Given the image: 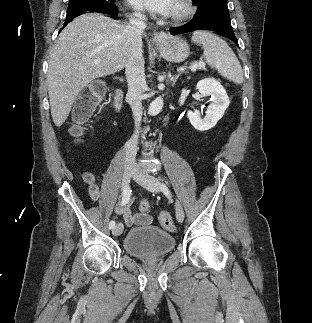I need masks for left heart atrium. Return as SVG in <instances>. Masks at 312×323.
<instances>
[{"mask_svg": "<svg viewBox=\"0 0 312 323\" xmlns=\"http://www.w3.org/2000/svg\"><path fill=\"white\" fill-rule=\"evenodd\" d=\"M127 3L137 12H171L174 6L172 0H127Z\"/></svg>", "mask_w": 312, "mask_h": 323, "instance_id": "1", "label": "left heart atrium"}]
</instances>
